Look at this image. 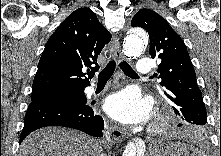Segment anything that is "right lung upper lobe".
Instances as JSON below:
<instances>
[{
  "instance_id": "right-lung-upper-lobe-1",
  "label": "right lung upper lobe",
  "mask_w": 221,
  "mask_h": 156,
  "mask_svg": "<svg viewBox=\"0 0 221 156\" xmlns=\"http://www.w3.org/2000/svg\"><path fill=\"white\" fill-rule=\"evenodd\" d=\"M110 40L111 34L92 10L84 7L71 13L45 46L33 80L31 101L84 90L99 69L98 55Z\"/></svg>"
}]
</instances>
